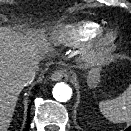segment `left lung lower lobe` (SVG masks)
<instances>
[{"label":"left lung lower lobe","mask_w":131,"mask_h":131,"mask_svg":"<svg viewBox=\"0 0 131 131\" xmlns=\"http://www.w3.org/2000/svg\"><path fill=\"white\" fill-rule=\"evenodd\" d=\"M125 131H131V126L128 127Z\"/></svg>","instance_id":"0a47b994"}]
</instances>
